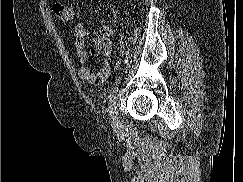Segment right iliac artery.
<instances>
[{
  "label": "right iliac artery",
  "instance_id": "82829eb1",
  "mask_svg": "<svg viewBox=\"0 0 243 182\" xmlns=\"http://www.w3.org/2000/svg\"><path fill=\"white\" fill-rule=\"evenodd\" d=\"M120 80H121V76H119L118 79L115 80L113 86L111 87L110 94L108 96L110 103H112L115 98V93L118 90V85L120 83Z\"/></svg>",
  "mask_w": 243,
  "mask_h": 182
}]
</instances>
